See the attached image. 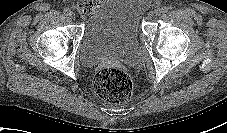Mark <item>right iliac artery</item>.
I'll return each mask as SVG.
<instances>
[{
	"label": "right iliac artery",
	"mask_w": 227,
	"mask_h": 133,
	"mask_svg": "<svg viewBox=\"0 0 227 133\" xmlns=\"http://www.w3.org/2000/svg\"><path fill=\"white\" fill-rule=\"evenodd\" d=\"M70 10H69V8H65L64 10H63V13L66 15V16H68L69 14H70Z\"/></svg>",
	"instance_id": "82829eb1"
}]
</instances>
